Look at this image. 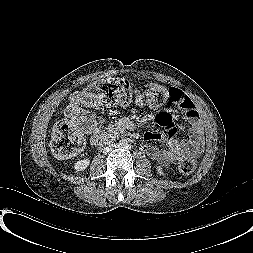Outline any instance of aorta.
<instances>
[{"label":"aorta","mask_w":253,"mask_h":253,"mask_svg":"<svg viewBox=\"0 0 253 253\" xmlns=\"http://www.w3.org/2000/svg\"><path fill=\"white\" fill-rule=\"evenodd\" d=\"M120 144H121V146H122V147H124V148H125V147H127V146H128V144H129V143H128V141H127V140H125V139H124V140H122V141H121V143H120Z\"/></svg>","instance_id":"1"}]
</instances>
